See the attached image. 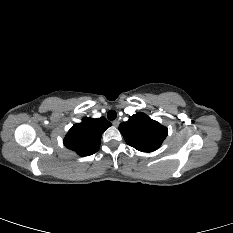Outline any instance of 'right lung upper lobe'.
<instances>
[{"mask_svg":"<svg viewBox=\"0 0 233 233\" xmlns=\"http://www.w3.org/2000/svg\"><path fill=\"white\" fill-rule=\"evenodd\" d=\"M111 126L104 117L84 118L74 124L64 138V145L80 156L92 155L99 150L102 133Z\"/></svg>","mask_w":233,"mask_h":233,"instance_id":"obj_1","label":"right lung upper lobe"}]
</instances>
